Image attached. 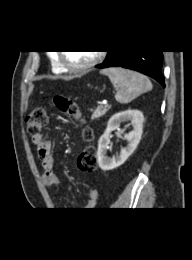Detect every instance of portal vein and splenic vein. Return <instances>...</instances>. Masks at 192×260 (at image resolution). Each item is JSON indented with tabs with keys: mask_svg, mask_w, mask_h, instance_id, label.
Here are the masks:
<instances>
[{
	"mask_svg": "<svg viewBox=\"0 0 192 260\" xmlns=\"http://www.w3.org/2000/svg\"><path fill=\"white\" fill-rule=\"evenodd\" d=\"M105 106H109V104H108V103H106V104H105Z\"/></svg>",
	"mask_w": 192,
	"mask_h": 260,
	"instance_id": "portal-vein-and-splenic-vein-1",
	"label": "portal vein and splenic vein"
}]
</instances>
